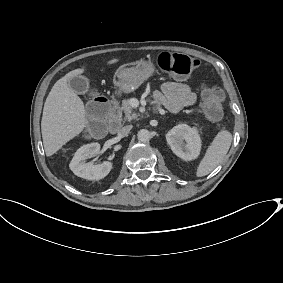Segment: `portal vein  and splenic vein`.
Masks as SVG:
<instances>
[{
  "label": "portal vein and splenic vein",
  "instance_id": "portal-vein-and-splenic-vein-1",
  "mask_svg": "<svg viewBox=\"0 0 283 283\" xmlns=\"http://www.w3.org/2000/svg\"><path fill=\"white\" fill-rule=\"evenodd\" d=\"M130 103H131L132 108H138L139 107V102L136 99L131 100Z\"/></svg>",
  "mask_w": 283,
  "mask_h": 283
}]
</instances>
